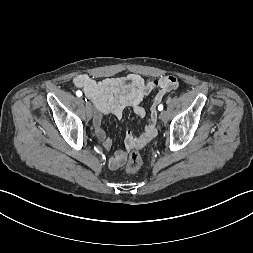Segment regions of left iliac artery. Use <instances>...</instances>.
<instances>
[{
    "label": "left iliac artery",
    "instance_id": "obj_1",
    "mask_svg": "<svg viewBox=\"0 0 253 253\" xmlns=\"http://www.w3.org/2000/svg\"><path fill=\"white\" fill-rule=\"evenodd\" d=\"M158 110H159V111L163 110V105H162V104H160V105L158 106Z\"/></svg>",
    "mask_w": 253,
    "mask_h": 253
}]
</instances>
